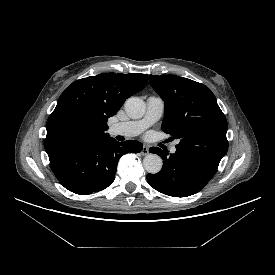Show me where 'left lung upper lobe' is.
Instances as JSON below:
<instances>
[{
  "instance_id": "1",
  "label": "left lung upper lobe",
  "mask_w": 275,
  "mask_h": 275,
  "mask_svg": "<svg viewBox=\"0 0 275 275\" xmlns=\"http://www.w3.org/2000/svg\"><path fill=\"white\" fill-rule=\"evenodd\" d=\"M149 81L165 101L162 130L180 140L176 150L218 168L228 150V125L212 91L175 75H150Z\"/></svg>"
}]
</instances>
